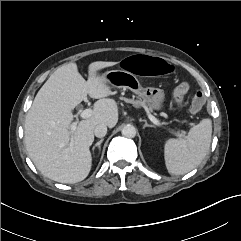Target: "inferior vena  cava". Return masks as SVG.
<instances>
[{"label": "inferior vena cava", "instance_id": "1", "mask_svg": "<svg viewBox=\"0 0 241 241\" xmlns=\"http://www.w3.org/2000/svg\"><path fill=\"white\" fill-rule=\"evenodd\" d=\"M94 134L98 138H102L107 134V126L105 124H98L94 129Z\"/></svg>", "mask_w": 241, "mask_h": 241}]
</instances>
